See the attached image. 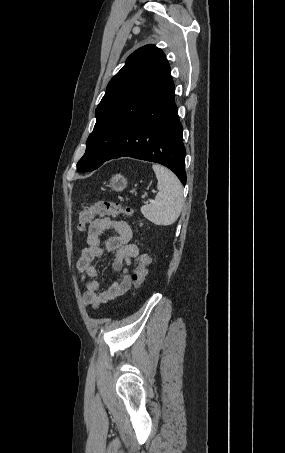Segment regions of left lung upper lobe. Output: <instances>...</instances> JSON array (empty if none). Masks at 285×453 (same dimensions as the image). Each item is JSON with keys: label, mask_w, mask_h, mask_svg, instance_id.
<instances>
[{"label": "left lung upper lobe", "mask_w": 285, "mask_h": 453, "mask_svg": "<svg viewBox=\"0 0 285 453\" xmlns=\"http://www.w3.org/2000/svg\"><path fill=\"white\" fill-rule=\"evenodd\" d=\"M170 66L165 54L154 45L137 49L110 80L96 109V124L86 142V152L77 163L78 171L101 166L134 119L155 97Z\"/></svg>", "instance_id": "5c2ea615"}]
</instances>
